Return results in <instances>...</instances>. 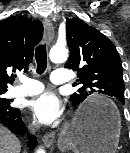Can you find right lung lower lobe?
<instances>
[{"label":"right lung lower lobe","instance_id":"98d812e1","mask_svg":"<svg viewBox=\"0 0 130 153\" xmlns=\"http://www.w3.org/2000/svg\"><path fill=\"white\" fill-rule=\"evenodd\" d=\"M0 123L5 125L15 134H25L27 132V128L21 119L20 110L12 108L10 104H0ZM36 144V137H32L29 139L28 146L31 150L34 149Z\"/></svg>","mask_w":130,"mask_h":153}]
</instances>
